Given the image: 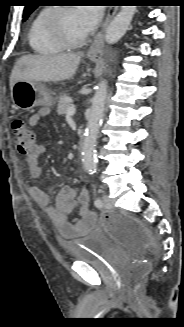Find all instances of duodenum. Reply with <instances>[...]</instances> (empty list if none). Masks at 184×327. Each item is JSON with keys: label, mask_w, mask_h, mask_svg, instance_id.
Returning a JSON list of instances; mask_svg holds the SVG:
<instances>
[{"label": "duodenum", "mask_w": 184, "mask_h": 327, "mask_svg": "<svg viewBox=\"0 0 184 327\" xmlns=\"http://www.w3.org/2000/svg\"><path fill=\"white\" fill-rule=\"evenodd\" d=\"M86 137L82 134L79 138L78 152L82 153L85 149Z\"/></svg>", "instance_id": "obj_1"}]
</instances>
